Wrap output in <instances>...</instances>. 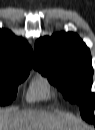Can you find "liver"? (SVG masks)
<instances>
[{"label":"liver","instance_id":"obj_1","mask_svg":"<svg viewBox=\"0 0 95 130\" xmlns=\"http://www.w3.org/2000/svg\"><path fill=\"white\" fill-rule=\"evenodd\" d=\"M0 130H83L75 119L43 110L1 112Z\"/></svg>","mask_w":95,"mask_h":130}]
</instances>
